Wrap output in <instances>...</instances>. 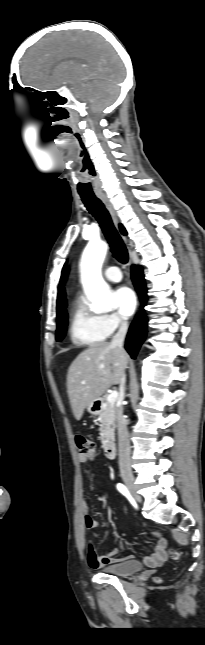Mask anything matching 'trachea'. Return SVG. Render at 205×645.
Returning <instances> with one entry per match:
<instances>
[{
	"mask_svg": "<svg viewBox=\"0 0 205 645\" xmlns=\"http://www.w3.org/2000/svg\"><path fill=\"white\" fill-rule=\"evenodd\" d=\"M81 199L87 210L98 221L109 245L113 256L121 263L128 262V251L120 235L115 229L110 214L105 208L102 201L96 196H81Z\"/></svg>",
	"mask_w": 205,
	"mask_h": 645,
	"instance_id": "3493384b",
	"label": "trachea"
}]
</instances>
